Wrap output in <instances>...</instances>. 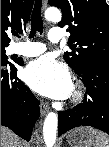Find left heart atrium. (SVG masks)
Segmentation results:
<instances>
[{
	"label": "left heart atrium",
	"instance_id": "39dd6f15",
	"mask_svg": "<svg viewBox=\"0 0 109 147\" xmlns=\"http://www.w3.org/2000/svg\"><path fill=\"white\" fill-rule=\"evenodd\" d=\"M24 79L33 90L52 99H66L73 90L68 68L49 55L31 62Z\"/></svg>",
	"mask_w": 109,
	"mask_h": 147
}]
</instances>
